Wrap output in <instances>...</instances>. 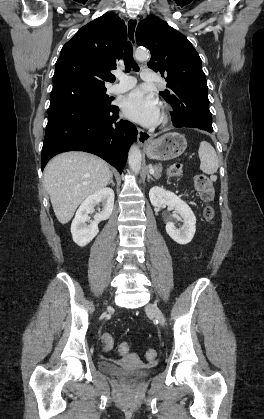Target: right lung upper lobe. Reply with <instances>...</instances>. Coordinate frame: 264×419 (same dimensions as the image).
I'll return each instance as SVG.
<instances>
[{"label":"right lung upper lobe","instance_id":"cb5924a9","mask_svg":"<svg viewBox=\"0 0 264 419\" xmlns=\"http://www.w3.org/2000/svg\"><path fill=\"white\" fill-rule=\"evenodd\" d=\"M127 27L114 14H104L83 26L60 53L51 95L74 88H105L113 82L110 70L122 57Z\"/></svg>","mask_w":264,"mask_h":419}]
</instances>
